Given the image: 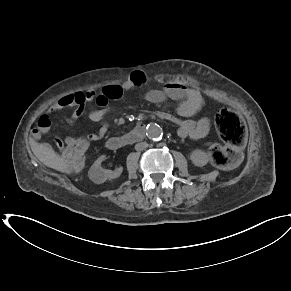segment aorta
Masks as SVG:
<instances>
[{"label": "aorta", "instance_id": "obj_1", "mask_svg": "<svg viewBox=\"0 0 291 291\" xmlns=\"http://www.w3.org/2000/svg\"><path fill=\"white\" fill-rule=\"evenodd\" d=\"M146 133L150 139L159 140L163 135V130L158 124L152 123L147 127Z\"/></svg>", "mask_w": 291, "mask_h": 291}]
</instances>
